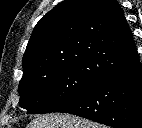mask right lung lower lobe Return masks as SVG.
I'll list each match as a JSON object with an SVG mask.
<instances>
[{"label":"right lung lower lobe","mask_w":142,"mask_h":128,"mask_svg":"<svg viewBox=\"0 0 142 128\" xmlns=\"http://www.w3.org/2000/svg\"><path fill=\"white\" fill-rule=\"evenodd\" d=\"M115 128H142V66L140 61L98 80L58 108Z\"/></svg>","instance_id":"right-lung-lower-lobe-1"}]
</instances>
